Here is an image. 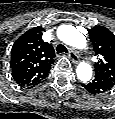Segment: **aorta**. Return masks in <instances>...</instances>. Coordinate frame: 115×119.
Here are the masks:
<instances>
[{
	"mask_svg": "<svg viewBox=\"0 0 115 119\" xmlns=\"http://www.w3.org/2000/svg\"><path fill=\"white\" fill-rule=\"evenodd\" d=\"M58 38L69 46L77 49H85L87 41L85 36L71 25H64L57 30ZM77 77L83 82H87L92 77V67L89 63L81 62L76 68Z\"/></svg>",
	"mask_w": 115,
	"mask_h": 119,
	"instance_id": "762f6f07",
	"label": "aorta"
}]
</instances>
